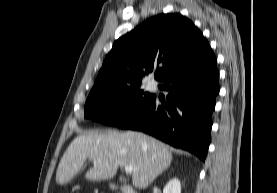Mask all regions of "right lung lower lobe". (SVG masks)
<instances>
[{
	"label": "right lung lower lobe",
	"mask_w": 277,
	"mask_h": 193,
	"mask_svg": "<svg viewBox=\"0 0 277 193\" xmlns=\"http://www.w3.org/2000/svg\"><path fill=\"white\" fill-rule=\"evenodd\" d=\"M162 82L159 87L169 91L168 97L157 99L153 95L117 127L143 131L205 161L211 138V115L219 93V72L213 51Z\"/></svg>",
	"instance_id": "right-lung-lower-lobe-1"
}]
</instances>
